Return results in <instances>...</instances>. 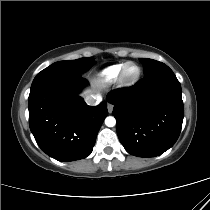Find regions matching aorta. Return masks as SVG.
Returning a JSON list of instances; mask_svg holds the SVG:
<instances>
[{
	"label": "aorta",
	"mask_w": 210,
	"mask_h": 210,
	"mask_svg": "<svg viewBox=\"0 0 210 210\" xmlns=\"http://www.w3.org/2000/svg\"><path fill=\"white\" fill-rule=\"evenodd\" d=\"M105 124L108 127H113L116 125V119L112 116H109L105 119Z\"/></svg>",
	"instance_id": "762f6f07"
}]
</instances>
